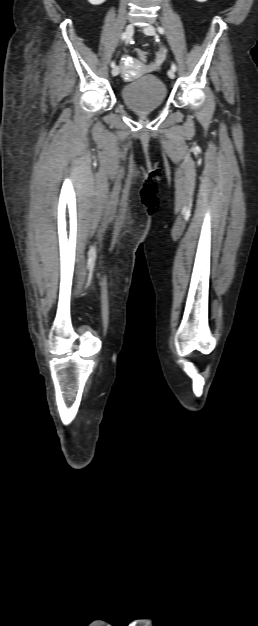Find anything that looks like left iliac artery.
Instances as JSON below:
<instances>
[{
  "label": "left iliac artery",
  "mask_w": 258,
  "mask_h": 626,
  "mask_svg": "<svg viewBox=\"0 0 258 626\" xmlns=\"http://www.w3.org/2000/svg\"><path fill=\"white\" fill-rule=\"evenodd\" d=\"M157 30L159 31V33L164 34V29L160 26L157 27ZM171 69L175 72L177 70V66L175 63H172L171 65Z\"/></svg>",
  "instance_id": "obj_1"
}]
</instances>
